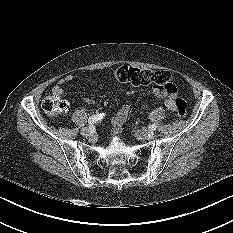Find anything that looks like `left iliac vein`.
<instances>
[{
	"instance_id": "4c4485c4",
	"label": "left iliac vein",
	"mask_w": 233,
	"mask_h": 233,
	"mask_svg": "<svg viewBox=\"0 0 233 233\" xmlns=\"http://www.w3.org/2000/svg\"><path fill=\"white\" fill-rule=\"evenodd\" d=\"M134 133H135V136L137 137V139H139V140L152 139L154 137L153 131L142 132L140 130H136V131H134Z\"/></svg>"
}]
</instances>
